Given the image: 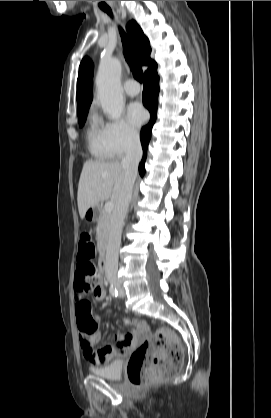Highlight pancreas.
<instances>
[{"mask_svg": "<svg viewBox=\"0 0 271 418\" xmlns=\"http://www.w3.org/2000/svg\"><path fill=\"white\" fill-rule=\"evenodd\" d=\"M100 215L97 223L96 235L98 246L104 250L110 235V213L106 212L104 208L99 209Z\"/></svg>", "mask_w": 271, "mask_h": 418, "instance_id": "cf45deb5", "label": "pancreas"}]
</instances>
